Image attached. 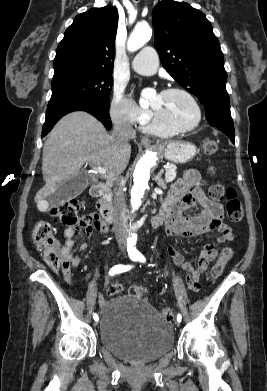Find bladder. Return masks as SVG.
Returning <instances> with one entry per match:
<instances>
[{
	"label": "bladder",
	"instance_id": "obj_1",
	"mask_svg": "<svg viewBox=\"0 0 267 391\" xmlns=\"http://www.w3.org/2000/svg\"><path fill=\"white\" fill-rule=\"evenodd\" d=\"M98 325L102 346L129 362H153L173 347L171 325L142 297L111 298L101 307Z\"/></svg>",
	"mask_w": 267,
	"mask_h": 391
}]
</instances>
